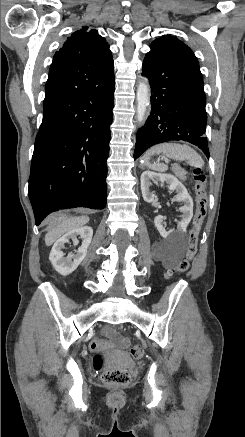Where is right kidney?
I'll list each match as a JSON object with an SVG mask.
<instances>
[{
    "label": "right kidney",
    "mask_w": 245,
    "mask_h": 437,
    "mask_svg": "<svg viewBox=\"0 0 245 437\" xmlns=\"http://www.w3.org/2000/svg\"><path fill=\"white\" fill-rule=\"evenodd\" d=\"M77 236L83 239L81 246L78 250H75V253L70 252L67 257H64L65 253H63L62 249L65 247V243L72 239L74 244H78ZM92 236L93 229L89 226H84L73 229L59 238L53 245L49 255L54 269L64 276L71 274L86 257Z\"/></svg>",
    "instance_id": "1"
}]
</instances>
